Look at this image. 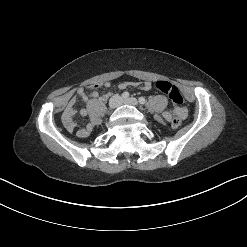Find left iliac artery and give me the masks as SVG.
Segmentation results:
<instances>
[{"label":"left iliac artery","instance_id":"obj_1","mask_svg":"<svg viewBox=\"0 0 247 247\" xmlns=\"http://www.w3.org/2000/svg\"><path fill=\"white\" fill-rule=\"evenodd\" d=\"M139 103H140V104H145V103H146L145 98H144V97H140V98H139Z\"/></svg>","mask_w":247,"mask_h":247}]
</instances>
